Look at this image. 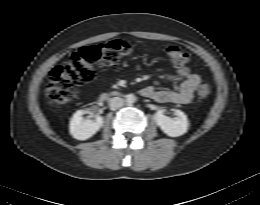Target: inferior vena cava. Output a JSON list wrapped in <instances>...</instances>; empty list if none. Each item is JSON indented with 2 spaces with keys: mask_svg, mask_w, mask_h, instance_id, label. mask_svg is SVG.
<instances>
[{
  "mask_svg": "<svg viewBox=\"0 0 260 205\" xmlns=\"http://www.w3.org/2000/svg\"><path fill=\"white\" fill-rule=\"evenodd\" d=\"M124 104V100L120 97H113L109 100V106L111 110H117Z\"/></svg>",
  "mask_w": 260,
  "mask_h": 205,
  "instance_id": "1",
  "label": "inferior vena cava"
}]
</instances>
